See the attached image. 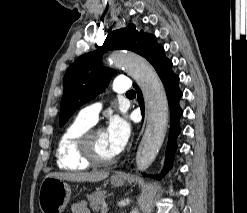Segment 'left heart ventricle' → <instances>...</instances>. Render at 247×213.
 <instances>
[{"mask_svg":"<svg viewBox=\"0 0 247 213\" xmlns=\"http://www.w3.org/2000/svg\"><path fill=\"white\" fill-rule=\"evenodd\" d=\"M93 148L95 155L100 159H110L115 156L109 147L104 130H98L95 133Z\"/></svg>","mask_w":247,"mask_h":213,"instance_id":"b2bd125f","label":"left heart ventricle"}]
</instances>
